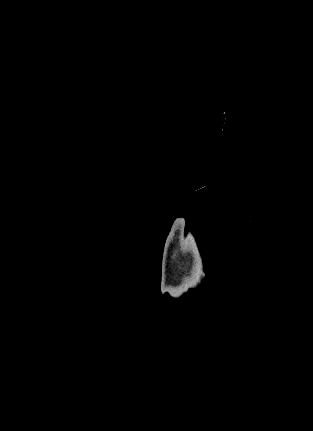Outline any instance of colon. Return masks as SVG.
Segmentation results:
<instances>
[{
	"label": "colon",
	"mask_w": 313,
	"mask_h": 431,
	"mask_svg": "<svg viewBox=\"0 0 313 431\" xmlns=\"http://www.w3.org/2000/svg\"><path fill=\"white\" fill-rule=\"evenodd\" d=\"M235 118V116H230V118H229V122H232L233 121V119Z\"/></svg>",
	"instance_id": "1"
}]
</instances>
